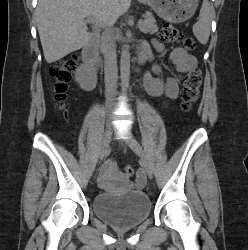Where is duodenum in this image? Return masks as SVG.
<instances>
[{
	"label": "duodenum",
	"mask_w": 248,
	"mask_h": 250,
	"mask_svg": "<svg viewBox=\"0 0 248 250\" xmlns=\"http://www.w3.org/2000/svg\"><path fill=\"white\" fill-rule=\"evenodd\" d=\"M98 47H99V37L96 33H93L89 37L82 52L83 61L92 67L99 66ZM147 59L148 57L146 55L140 53L139 55H137L135 61L137 64L140 65L143 64Z\"/></svg>",
	"instance_id": "1"
}]
</instances>
